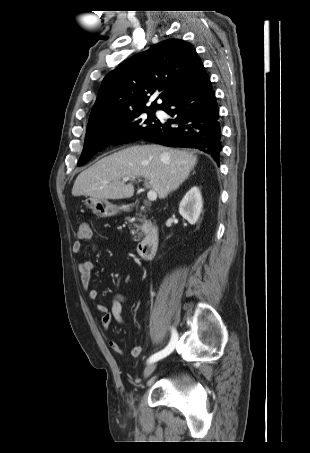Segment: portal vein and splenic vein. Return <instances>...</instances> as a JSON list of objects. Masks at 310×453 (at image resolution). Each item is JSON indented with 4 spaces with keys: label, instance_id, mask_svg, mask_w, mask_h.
I'll list each match as a JSON object with an SVG mask.
<instances>
[{
    "label": "portal vein and splenic vein",
    "instance_id": "18ae733b",
    "mask_svg": "<svg viewBox=\"0 0 310 453\" xmlns=\"http://www.w3.org/2000/svg\"><path fill=\"white\" fill-rule=\"evenodd\" d=\"M129 180H135V178H129V177H125L123 178V182H127ZM105 183H108V181H106ZM147 197H148V200L149 201H155L157 199V193L154 191V190H150L148 193H147Z\"/></svg>",
    "mask_w": 310,
    "mask_h": 453
}]
</instances>
